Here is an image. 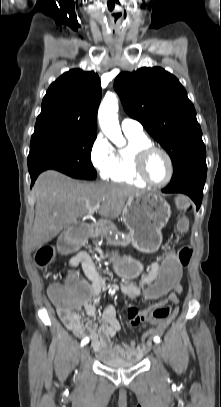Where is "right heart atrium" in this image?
Here are the masks:
<instances>
[{"label": "right heart atrium", "instance_id": "right-heart-atrium-1", "mask_svg": "<svg viewBox=\"0 0 221 407\" xmlns=\"http://www.w3.org/2000/svg\"><path fill=\"white\" fill-rule=\"evenodd\" d=\"M114 148L109 141L99 134L90 150V160L99 176L103 179L110 177L114 163Z\"/></svg>", "mask_w": 221, "mask_h": 407}]
</instances>
